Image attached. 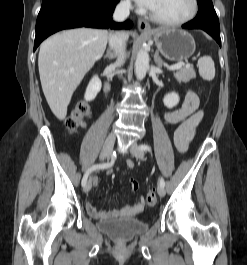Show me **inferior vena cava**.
Returning a JSON list of instances; mask_svg holds the SVG:
<instances>
[{"instance_id": "inferior-vena-cava-1", "label": "inferior vena cava", "mask_w": 247, "mask_h": 265, "mask_svg": "<svg viewBox=\"0 0 247 265\" xmlns=\"http://www.w3.org/2000/svg\"><path fill=\"white\" fill-rule=\"evenodd\" d=\"M131 2L130 0H122L117 6L113 14V18L116 21L125 20L130 14ZM126 40L125 33L117 32L110 33L109 45L114 50L118 57L115 66H121L124 63L126 57Z\"/></svg>"}]
</instances>
